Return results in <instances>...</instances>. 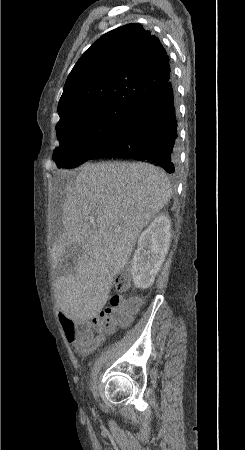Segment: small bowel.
<instances>
[{
	"mask_svg": "<svg viewBox=\"0 0 245 450\" xmlns=\"http://www.w3.org/2000/svg\"><path fill=\"white\" fill-rule=\"evenodd\" d=\"M78 287H79L78 283L74 282L70 288L68 297L65 299H62L59 302L58 309H59L60 316L66 315L77 321L84 320V318L79 317L74 313L73 308L69 302L70 299H72L74 297L75 292L77 291ZM69 341L71 342V344L73 345V347L77 353H79L83 356H86V355L90 354L91 352H93L94 350H96L105 341V335L103 333H99V334L95 335L94 337H92L87 342L79 341L76 338H71V339H69Z\"/></svg>",
	"mask_w": 245,
	"mask_h": 450,
	"instance_id": "1",
	"label": "small bowel"
}]
</instances>
